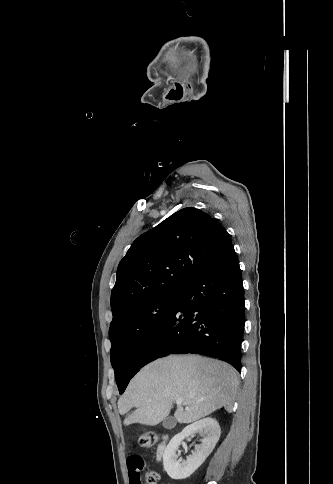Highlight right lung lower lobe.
Instances as JSON below:
<instances>
[{
	"mask_svg": "<svg viewBox=\"0 0 333 484\" xmlns=\"http://www.w3.org/2000/svg\"><path fill=\"white\" fill-rule=\"evenodd\" d=\"M243 293L232 245L179 290L174 307L142 347L131 378L158 357L184 353L216 357L241 372Z\"/></svg>",
	"mask_w": 333,
	"mask_h": 484,
	"instance_id": "1",
	"label": "right lung lower lobe"
}]
</instances>
